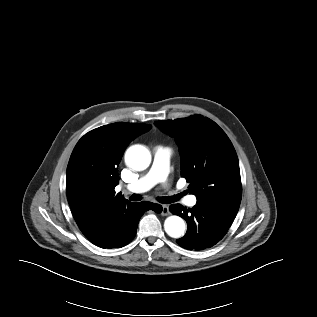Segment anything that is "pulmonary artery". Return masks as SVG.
<instances>
[{
	"instance_id": "pulmonary-artery-1",
	"label": "pulmonary artery",
	"mask_w": 317,
	"mask_h": 317,
	"mask_svg": "<svg viewBox=\"0 0 317 317\" xmlns=\"http://www.w3.org/2000/svg\"><path fill=\"white\" fill-rule=\"evenodd\" d=\"M171 154V149L157 146L154 149L151 168L139 180L130 184L127 187V191L131 193H142L158 183L165 182L168 176ZM184 203L188 206H194L197 203V198L195 195H189L185 198Z\"/></svg>"
}]
</instances>
